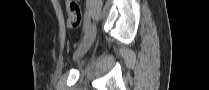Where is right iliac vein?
Instances as JSON below:
<instances>
[{
	"mask_svg": "<svg viewBox=\"0 0 209 90\" xmlns=\"http://www.w3.org/2000/svg\"><path fill=\"white\" fill-rule=\"evenodd\" d=\"M96 36V27L94 24H91L88 28V31L80 43L79 47L76 49V51L73 54V59L78 60L80 57H82L91 47V45L94 42Z\"/></svg>",
	"mask_w": 209,
	"mask_h": 90,
	"instance_id": "obj_1",
	"label": "right iliac vein"
}]
</instances>
